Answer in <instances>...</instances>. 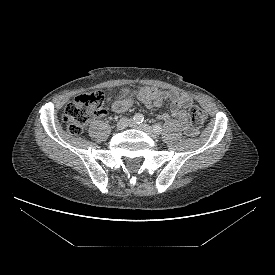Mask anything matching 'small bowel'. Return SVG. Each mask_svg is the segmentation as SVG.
I'll use <instances>...</instances> for the list:
<instances>
[{
  "instance_id": "obj_1",
  "label": "small bowel",
  "mask_w": 275,
  "mask_h": 275,
  "mask_svg": "<svg viewBox=\"0 0 275 275\" xmlns=\"http://www.w3.org/2000/svg\"><path fill=\"white\" fill-rule=\"evenodd\" d=\"M140 100L146 107L160 106L165 101H170L169 114H161L159 119L167 120L170 117L176 119L184 133L189 137H194L197 134L187 120L185 109L192 103V98L186 94L176 90H162L156 87H143L134 94L124 91V96L116 98L111 103V110L114 113H123L127 111L134 100Z\"/></svg>"
}]
</instances>
